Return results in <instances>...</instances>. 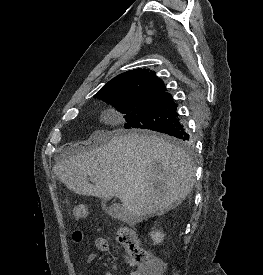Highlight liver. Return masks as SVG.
<instances>
[{"instance_id": "6515ba94", "label": "liver", "mask_w": 263, "mask_h": 275, "mask_svg": "<svg viewBox=\"0 0 263 275\" xmlns=\"http://www.w3.org/2000/svg\"><path fill=\"white\" fill-rule=\"evenodd\" d=\"M86 144L93 146L59 160L54 174L76 194L119 198L129 222L162 215L192 191V160L162 137L98 130ZM88 176L95 185L87 181Z\"/></svg>"}]
</instances>
